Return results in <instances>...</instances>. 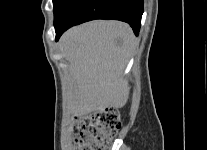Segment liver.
<instances>
[{"instance_id":"liver-1","label":"liver","mask_w":207,"mask_h":150,"mask_svg":"<svg viewBox=\"0 0 207 150\" xmlns=\"http://www.w3.org/2000/svg\"><path fill=\"white\" fill-rule=\"evenodd\" d=\"M134 44L132 29L119 21L95 20L63 34L60 45L69 63L70 113L81 116L126 104L130 87L123 72Z\"/></svg>"}]
</instances>
